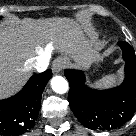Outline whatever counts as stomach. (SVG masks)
Returning a JSON list of instances; mask_svg holds the SVG:
<instances>
[{
    "label": "stomach",
    "mask_w": 136,
    "mask_h": 136,
    "mask_svg": "<svg viewBox=\"0 0 136 136\" xmlns=\"http://www.w3.org/2000/svg\"><path fill=\"white\" fill-rule=\"evenodd\" d=\"M100 60H101V55H100V53H99V54L96 56V58L94 59V61H93L92 63H98ZM92 63H91V64H92ZM91 64H90V65H91ZM90 65H89V66H90Z\"/></svg>",
    "instance_id": "obj_1"
}]
</instances>
